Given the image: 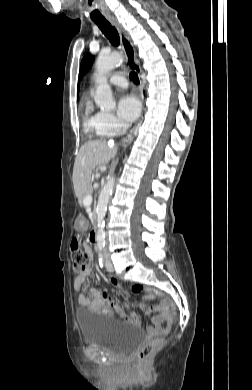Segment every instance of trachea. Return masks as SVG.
Returning a JSON list of instances; mask_svg holds the SVG:
<instances>
[{"label": "trachea", "mask_w": 252, "mask_h": 390, "mask_svg": "<svg viewBox=\"0 0 252 390\" xmlns=\"http://www.w3.org/2000/svg\"><path fill=\"white\" fill-rule=\"evenodd\" d=\"M93 21L113 45L118 46L120 44V38L116 28L105 18L94 19ZM129 77L135 84H139V78L136 72H131Z\"/></svg>", "instance_id": "obj_1"}]
</instances>
